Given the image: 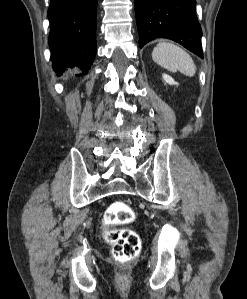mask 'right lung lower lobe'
<instances>
[{
	"instance_id": "1",
	"label": "right lung lower lobe",
	"mask_w": 247,
	"mask_h": 299,
	"mask_svg": "<svg viewBox=\"0 0 247 299\" xmlns=\"http://www.w3.org/2000/svg\"><path fill=\"white\" fill-rule=\"evenodd\" d=\"M97 0H50L48 43L53 69L62 74L75 66L84 73L96 54Z\"/></svg>"
}]
</instances>
